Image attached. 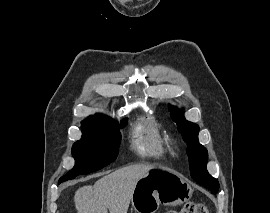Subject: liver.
Instances as JSON below:
<instances>
[{
  "label": "liver",
  "mask_w": 270,
  "mask_h": 213,
  "mask_svg": "<svg viewBox=\"0 0 270 213\" xmlns=\"http://www.w3.org/2000/svg\"><path fill=\"white\" fill-rule=\"evenodd\" d=\"M153 165L135 164L120 168L95 184L79 188L74 195L78 213H127L136 183Z\"/></svg>",
  "instance_id": "obj_1"
}]
</instances>
